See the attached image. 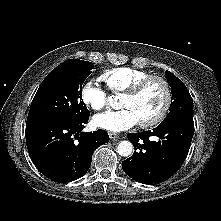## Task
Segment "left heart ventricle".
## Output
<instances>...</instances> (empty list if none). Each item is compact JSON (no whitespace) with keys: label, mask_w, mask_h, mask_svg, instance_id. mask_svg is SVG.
Listing matches in <instances>:
<instances>
[{"label":"left heart ventricle","mask_w":221,"mask_h":221,"mask_svg":"<svg viewBox=\"0 0 221 221\" xmlns=\"http://www.w3.org/2000/svg\"><path fill=\"white\" fill-rule=\"evenodd\" d=\"M164 100L163 85L158 81H152L138 96L134 98L123 96L120 106L131 109L141 122L153 118L162 108Z\"/></svg>","instance_id":"obj_1"}]
</instances>
